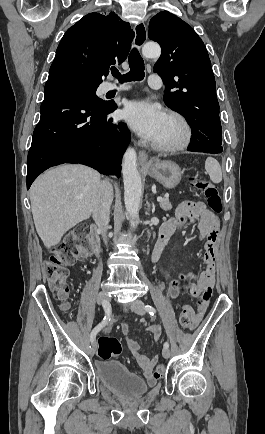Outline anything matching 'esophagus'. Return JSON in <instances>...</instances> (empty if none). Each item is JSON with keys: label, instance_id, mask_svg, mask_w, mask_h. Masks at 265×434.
Returning a JSON list of instances; mask_svg holds the SVG:
<instances>
[{"label": "esophagus", "instance_id": "34e87169", "mask_svg": "<svg viewBox=\"0 0 265 434\" xmlns=\"http://www.w3.org/2000/svg\"><path fill=\"white\" fill-rule=\"evenodd\" d=\"M134 32H135V37H134L133 44H134V48L138 50L144 45V43L148 38L147 29L144 22H139L135 24ZM138 158L141 166L148 165V155L144 150L139 151Z\"/></svg>", "mask_w": 265, "mask_h": 434}]
</instances>
